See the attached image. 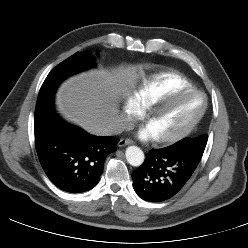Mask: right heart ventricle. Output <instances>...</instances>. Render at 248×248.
<instances>
[{"label":"right heart ventricle","instance_id":"e07e8e85","mask_svg":"<svg viewBox=\"0 0 248 248\" xmlns=\"http://www.w3.org/2000/svg\"><path fill=\"white\" fill-rule=\"evenodd\" d=\"M186 89L194 88L184 75L176 71H165L145 79L136 90L134 97L142 108H148L161 97Z\"/></svg>","mask_w":248,"mask_h":248}]
</instances>
